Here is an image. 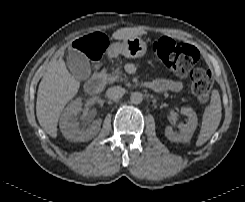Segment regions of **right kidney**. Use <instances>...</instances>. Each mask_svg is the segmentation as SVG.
Listing matches in <instances>:
<instances>
[{
    "instance_id": "ca27d5eb",
    "label": "right kidney",
    "mask_w": 245,
    "mask_h": 202,
    "mask_svg": "<svg viewBox=\"0 0 245 202\" xmlns=\"http://www.w3.org/2000/svg\"><path fill=\"white\" fill-rule=\"evenodd\" d=\"M80 98L73 100L64 110L60 117V129L64 137L70 141L83 142L95 137L100 131L101 119H97L91 126L86 122L83 127L77 121V114L81 110Z\"/></svg>"
}]
</instances>
